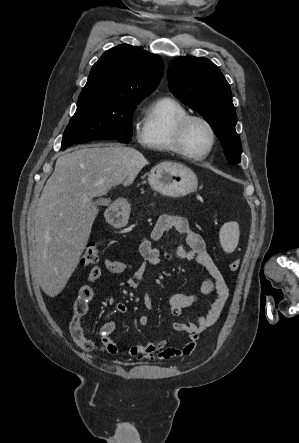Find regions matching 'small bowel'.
<instances>
[{"label":"small bowel","instance_id":"1","mask_svg":"<svg viewBox=\"0 0 299 443\" xmlns=\"http://www.w3.org/2000/svg\"><path fill=\"white\" fill-rule=\"evenodd\" d=\"M170 230L184 236V242L177 246H170L164 253L157 246V242ZM139 252L143 263L131 275L127 283L136 288L142 275L150 266L157 265L163 257L167 259H186L200 264L207 271V278L200 286L198 293H176L169 298V308L175 317L181 316L183 310L192 306L201 295L216 294L210 308L202 315L194 317L189 322L173 323L176 332L187 334L186 340L179 346L169 345L165 340L153 339L145 345H121L111 339L115 330V323L105 321L100 327V344L85 335L81 324L82 317L88 311V304L94 297L93 284L101 277L103 268L110 273L120 274L128 271L131 266L127 263L104 259L103 266L95 265L89 271L87 282L80 286L74 303V315L69 323V332L73 341L85 352L103 351L111 355H127L137 360L154 359L161 360L187 356L195 349L199 335L211 327L219 318L229 296L228 287L223 275L210 253L202 236L189 227L187 220L181 216L161 215L149 237H144L139 245ZM145 305L150 309L151 296L148 292L143 295ZM116 311L126 313L127 306L123 302L116 304ZM142 327H146L148 317L142 316L139 320Z\"/></svg>","mask_w":299,"mask_h":443}]
</instances>
